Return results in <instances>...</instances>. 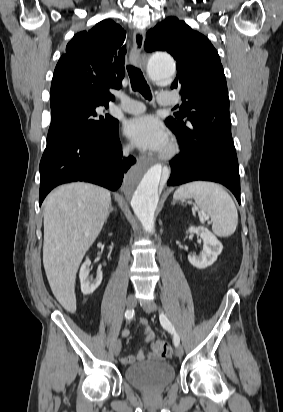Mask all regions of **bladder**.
I'll use <instances>...</instances> for the list:
<instances>
[{
  "label": "bladder",
  "mask_w": 283,
  "mask_h": 412,
  "mask_svg": "<svg viewBox=\"0 0 283 412\" xmlns=\"http://www.w3.org/2000/svg\"><path fill=\"white\" fill-rule=\"evenodd\" d=\"M124 375L129 384L146 391L162 390L175 380L174 368L165 361L137 363L127 367Z\"/></svg>",
  "instance_id": "1"
}]
</instances>
